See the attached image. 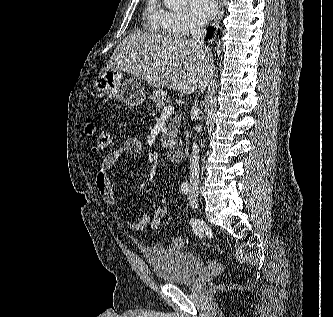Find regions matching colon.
<instances>
[{"instance_id": "5ec220e1", "label": "colon", "mask_w": 333, "mask_h": 317, "mask_svg": "<svg viewBox=\"0 0 333 317\" xmlns=\"http://www.w3.org/2000/svg\"><path fill=\"white\" fill-rule=\"evenodd\" d=\"M85 133L90 139L91 150L94 153H99L106 150L111 144V138L109 133L99 127L95 122L90 121L85 126ZM168 215V210L164 207H160L155 210L152 214L150 221V227L156 230L160 227L162 222L166 219ZM185 243L180 237H175L172 239V246L176 249H182Z\"/></svg>"}]
</instances>
